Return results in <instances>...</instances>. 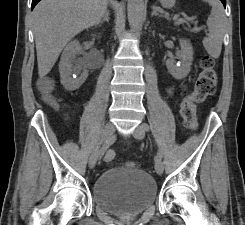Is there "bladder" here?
<instances>
[{
  "label": "bladder",
  "instance_id": "1",
  "mask_svg": "<svg viewBox=\"0 0 245 225\" xmlns=\"http://www.w3.org/2000/svg\"><path fill=\"white\" fill-rule=\"evenodd\" d=\"M96 206L116 216L143 213L158 199L153 177L139 168L103 170L92 185Z\"/></svg>",
  "mask_w": 245,
  "mask_h": 225
}]
</instances>
